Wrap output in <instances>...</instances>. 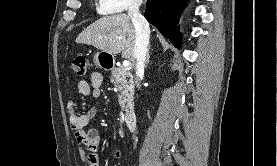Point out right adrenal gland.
<instances>
[{
    "label": "right adrenal gland",
    "instance_id": "right-adrenal-gland-1",
    "mask_svg": "<svg viewBox=\"0 0 277 166\" xmlns=\"http://www.w3.org/2000/svg\"><path fill=\"white\" fill-rule=\"evenodd\" d=\"M149 59H150V55H149V48H148L147 57H146V64L149 63Z\"/></svg>",
    "mask_w": 277,
    "mask_h": 166
}]
</instances>
